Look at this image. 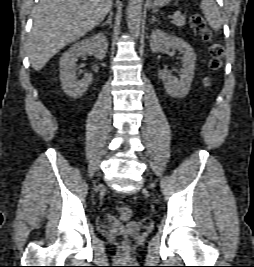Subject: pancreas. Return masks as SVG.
Returning a JSON list of instances; mask_svg holds the SVG:
<instances>
[{"instance_id": "pancreas-1", "label": "pancreas", "mask_w": 254, "mask_h": 267, "mask_svg": "<svg viewBox=\"0 0 254 267\" xmlns=\"http://www.w3.org/2000/svg\"><path fill=\"white\" fill-rule=\"evenodd\" d=\"M186 18L183 15H179L173 18L172 23L178 27H182L185 25Z\"/></svg>"}]
</instances>
